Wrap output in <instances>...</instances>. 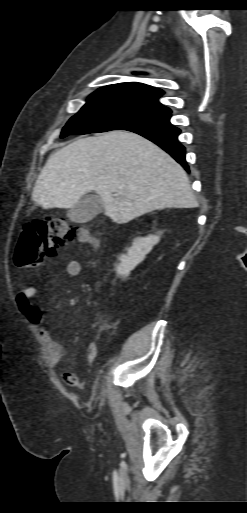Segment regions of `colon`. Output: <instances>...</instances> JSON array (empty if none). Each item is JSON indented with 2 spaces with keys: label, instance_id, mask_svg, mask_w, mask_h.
Returning <instances> with one entry per match:
<instances>
[{
  "label": "colon",
  "instance_id": "obj_1",
  "mask_svg": "<svg viewBox=\"0 0 247 513\" xmlns=\"http://www.w3.org/2000/svg\"><path fill=\"white\" fill-rule=\"evenodd\" d=\"M92 240L88 231L70 225L64 219H37L21 228L13 253V261L20 268L41 266L62 246L72 242L86 243ZM94 347L96 348L95 345Z\"/></svg>",
  "mask_w": 247,
  "mask_h": 513
}]
</instances>
